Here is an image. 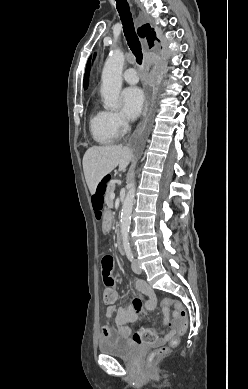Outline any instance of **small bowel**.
Listing matches in <instances>:
<instances>
[{"mask_svg": "<svg viewBox=\"0 0 248 389\" xmlns=\"http://www.w3.org/2000/svg\"><path fill=\"white\" fill-rule=\"evenodd\" d=\"M133 285L136 291L148 297V300L146 301L144 306L146 309L152 310L157 302V296L154 290L145 281L138 278L133 281ZM104 291L115 293L117 298V287L113 288L112 286H110ZM115 301L107 304L106 306V317L108 321L102 328V334L105 337L107 335L115 333L129 339L131 337L130 324L137 321L139 313L143 308V303L139 298H134L130 307L117 309ZM163 317L165 324H168L172 327H176V323L170 321L167 309H163ZM168 337L169 335L165 336L164 338H157L156 340H151L149 338L147 339L146 343L148 345H157L162 341L168 339ZM132 340L136 343H141L143 341L141 333L139 331L135 332L132 335Z\"/></svg>", "mask_w": 248, "mask_h": 389, "instance_id": "obj_1", "label": "small bowel"}]
</instances>
